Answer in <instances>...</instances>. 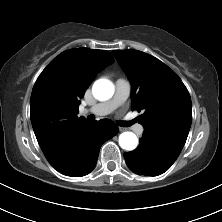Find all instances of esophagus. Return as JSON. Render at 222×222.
<instances>
[{"label": "esophagus", "instance_id": "34e87169", "mask_svg": "<svg viewBox=\"0 0 222 222\" xmlns=\"http://www.w3.org/2000/svg\"><path fill=\"white\" fill-rule=\"evenodd\" d=\"M126 129H127V128H125V127H119V131H120V132H124V131H126Z\"/></svg>", "mask_w": 222, "mask_h": 222}]
</instances>
